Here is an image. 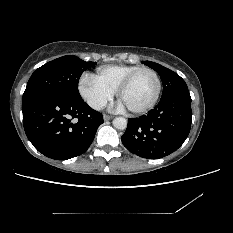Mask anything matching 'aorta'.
Here are the masks:
<instances>
[{"label":"aorta","instance_id":"762f6f07","mask_svg":"<svg viewBox=\"0 0 233 233\" xmlns=\"http://www.w3.org/2000/svg\"><path fill=\"white\" fill-rule=\"evenodd\" d=\"M113 126H114L116 129L124 130V129H126V127H127V120H126L124 117H116V118L113 120Z\"/></svg>","mask_w":233,"mask_h":233}]
</instances>
